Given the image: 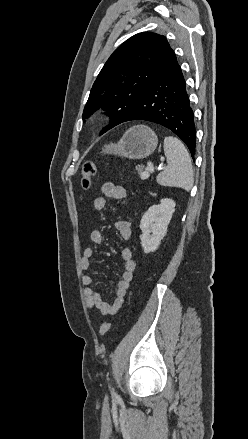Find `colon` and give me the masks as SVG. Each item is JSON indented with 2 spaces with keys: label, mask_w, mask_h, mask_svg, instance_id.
<instances>
[{
  "label": "colon",
  "mask_w": 248,
  "mask_h": 439,
  "mask_svg": "<svg viewBox=\"0 0 248 439\" xmlns=\"http://www.w3.org/2000/svg\"><path fill=\"white\" fill-rule=\"evenodd\" d=\"M97 173V164L94 161H87L83 164L81 172V185L83 189L88 190L92 186L93 178ZM113 327L112 322H105L99 330L100 337H104Z\"/></svg>",
  "instance_id": "1"
}]
</instances>
